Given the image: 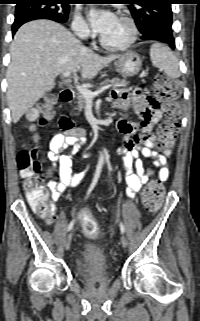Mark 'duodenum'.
Here are the masks:
<instances>
[{"label":"duodenum","instance_id":"1","mask_svg":"<svg viewBox=\"0 0 200 321\" xmlns=\"http://www.w3.org/2000/svg\"><path fill=\"white\" fill-rule=\"evenodd\" d=\"M75 97V93L72 89H64L60 94V99L64 103H71ZM60 126L66 131H73L76 133H81L82 128H76L73 122L68 117H61Z\"/></svg>","mask_w":200,"mask_h":321}]
</instances>
